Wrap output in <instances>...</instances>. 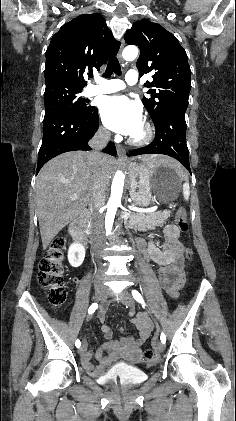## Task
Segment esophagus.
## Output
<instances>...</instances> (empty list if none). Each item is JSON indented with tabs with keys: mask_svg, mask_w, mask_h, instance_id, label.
I'll return each mask as SVG.
<instances>
[{
	"mask_svg": "<svg viewBox=\"0 0 236 421\" xmlns=\"http://www.w3.org/2000/svg\"><path fill=\"white\" fill-rule=\"evenodd\" d=\"M123 48H124V40L121 41V46H120L119 52H118V58L122 62H124L123 59H122V50H123ZM116 148H117V154H118L119 160L126 161L127 160V157H126V150H125V148H123V146H121V145H117Z\"/></svg>",
	"mask_w": 236,
	"mask_h": 421,
	"instance_id": "obj_1",
	"label": "esophagus"
}]
</instances>
